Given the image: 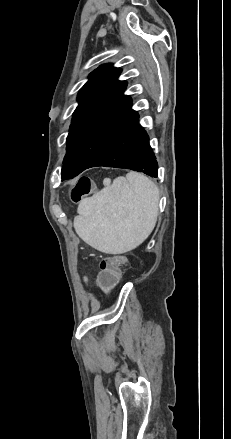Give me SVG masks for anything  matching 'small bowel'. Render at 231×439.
<instances>
[{
    "label": "small bowel",
    "mask_w": 231,
    "mask_h": 439,
    "mask_svg": "<svg viewBox=\"0 0 231 439\" xmlns=\"http://www.w3.org/2000/svg\"><path fill=\"white\" fill-rule=\"evenodd\" d=\"M96 283H97L98 286L100 285V282H98L97 280H96Z\"/></svg>",
    "instance_id": "1"
}]
</instances>
